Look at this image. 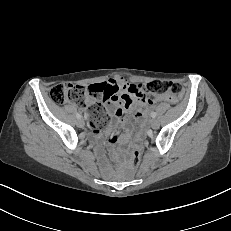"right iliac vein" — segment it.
<instances>
[{
	"mask_svg": "<svg viewBox=\"0 0 231 231\" xmlns=\"http://www.w3.org/2000/svg\"><path fill=\"white\" fill-rule=\"evenodd\" d=\"M77 126H78L79 128H83V127L85 126L84 120L78 119V121H77Z\"/></svg>",
	"mask_w": 231,
	"mask_h": 231,
	"instance_id": "1",
	"label": "right iliac vein"
}]
</instances>
